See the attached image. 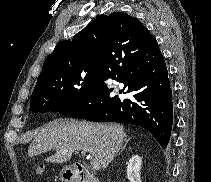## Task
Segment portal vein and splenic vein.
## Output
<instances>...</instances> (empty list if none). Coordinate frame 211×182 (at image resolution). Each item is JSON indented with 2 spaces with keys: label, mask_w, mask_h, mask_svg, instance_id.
<instances>
[{
  "label": "portal vein and splenic vein",
  "mask_w": 211,
  "mask_h": 182,
  "mask_svg": "<svg viewBox=\"0 0 211 182\" xmlns=\"http://www.w3.org/2000/svg\"><path fill=\"white\" fill-rule=\"evenodd\" d=\"M83 153H85V152L83 151ZM90 163H91L93 169H95V170L100 169V164L96 159H91Z\"/></svg>",
  "instance_id": "portal-vein-and-splenic-vein-1"
}]
</instances>
